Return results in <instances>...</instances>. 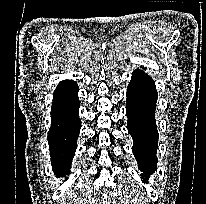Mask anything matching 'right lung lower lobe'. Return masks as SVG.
Instances as JSON below:
<instances>
[{"label": "right lung lower lobe", "instance_id": "1", "mask_svg": "<svg viewBox=\"0 0 206 204\" xmlns=\"http://www.w3.org/2000/svg\"><path fill=\"white\" fill-rule=\"evenodd\" d=\"M78 86L72 80L59 83L54 91L48 142L55 174H68L81 129Z\"/></svg>", "mask_w": 206, "mask_h": 204}]
</instances>
